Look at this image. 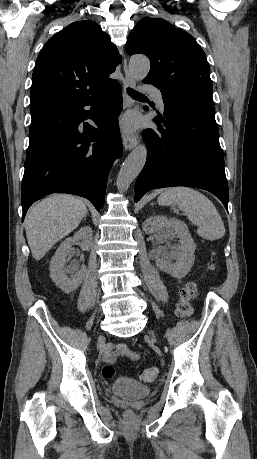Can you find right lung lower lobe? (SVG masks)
<instances>
[{
  "instance_id": "1",
  "label": "right lung lower lobe",
  "mask_w": 257,
  "mask_h": 459,
  "mask_svg": "<svg viewBox=\"0 0 257 459\" xmlns=\"http://www.w3.org/2000/svg\"><path fill=\"white\" fill-rule=\"evenodd\" d=\"M85 106H91L85 110ZM122 109L116 82L100 95L31 113L22 180V221L28 208L50 193H71L104 205L108 172L122 155L117 116ZM100 128H94L86 119Z\"/></svg>"
}]
</instances>
